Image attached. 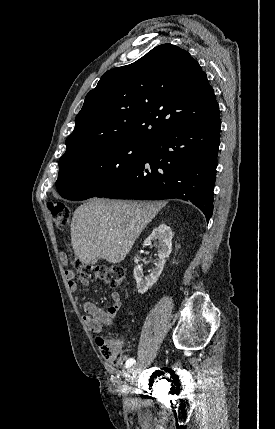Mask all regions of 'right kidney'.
I'll list each match as a JSON object with an SVG mask.
<instances>
[{"mask_svg":"<svg viewBox=\"0 0 275 429\" xmlns=\"http://www.w3.org/2000/svg\"><path fill=\"white\" fill-rule=\"evenodd\" d=\"M172 237L173 233L169 226L162 223L158 227H156L152 233L144 240L143 246L150 245L153 241L159 242V251H158V259L156 262V267L152 269L150 275L148 277L143 278L142 270L139 265H136L134 268V278L137 283V290L140 294H144L148 291L150 287H152L160 274L163 271V267L165 265L166 259L169 257L172 251ZM139 257L136 255L134 257V262L138 264Z\"/></svg>","mask_w":275,"mask_h":429,"instance_id":"1","label":"right kidney"}]
</instances>
